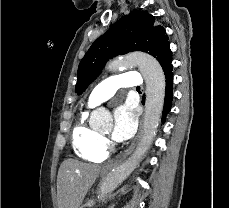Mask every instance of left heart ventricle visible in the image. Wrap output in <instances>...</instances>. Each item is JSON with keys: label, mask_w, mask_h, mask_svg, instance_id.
<instances>
[{"label": "left heart ventricle", "mask_w": 229, "mask_h": 208, "mask_svg": "<svg viewBox=\"0 0 229 208\" xmlns=\"http://www.w3.org/2000/svg\"><path fill=\"white\" fill-rule=\"evenodd\" d=\"M110 131L105 132L106 134L109 133Z\"/></svg>", "instance_id": "obj_1"}]
</instances>
